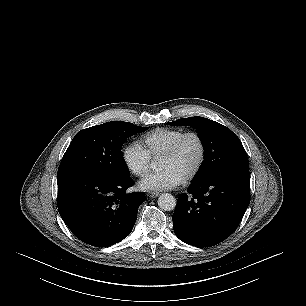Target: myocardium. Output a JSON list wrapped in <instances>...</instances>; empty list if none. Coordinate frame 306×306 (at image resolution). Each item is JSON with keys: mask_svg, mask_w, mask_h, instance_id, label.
<instances>
[{"mask_svg": "<svg viewBox=\"0 0 306 306\" xmlns=\"http://www.w3.org/2000/svg\"><path fill=\"white\" fill-rule=\"evenodd\" d=\"M189 137H194L197 140L200 147V156L195 168L183 179V182H190L196 178L204 166L206 159V144L202 136L195 131L184 132L161 156V158H171L176 155L182 143Z\"/></svg>", "mask_w": 306, "mask_h": 306, "instance_id": "obj_1", "label": "myocardium"}]
</instances>
